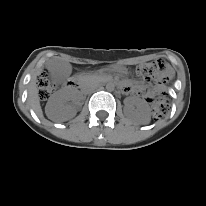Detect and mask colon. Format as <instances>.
<instances>
[{"label": "colon", "instance_id": "5ec220e1", "mask_svg": "<svg viewBox=\"0 0 206 206\" xmlns=\"http://www.w3.org/2000/svg\"><path fill=\"white\" fill-rule=\"evenodd\" d=\"M167 71V66L165 62L158 59L154 62L140 65L136 69L138 76L144 79H152L157 76L164 75L165 79L168 80L169 76L165 75ZM39 87V97L41 100H46L49 98L53 91V84L50 81L46 71H43L38 80ZM169 108V103L164 98H159L153 102L152 111L153 116L156 119L162 118Z\"/></svg>", "mask_w": 206, "mask_h": 206}]
</instances>
